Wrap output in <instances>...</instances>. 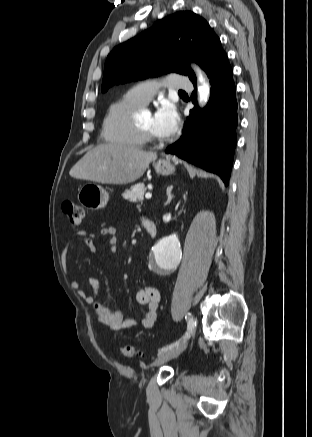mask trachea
Wrapping results in <instances>:
<instances>
[{
    "label": "trachea",
    "mask_w": 312,
    "mask_h": 437,
    "mask_svg": "<svg viewBox=\"0 0 312 437\" xmlns=\"http://www.w3.org/2000/svg\"><path fill=\"white\" fill-rule=\"evenodd\" d=\"M178 93L185 94V91L180 90Z\"/></svg>",
    "instance_id": "obj_1"
}]
</instances>
